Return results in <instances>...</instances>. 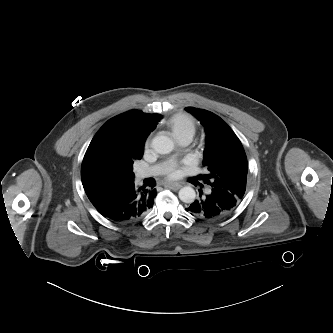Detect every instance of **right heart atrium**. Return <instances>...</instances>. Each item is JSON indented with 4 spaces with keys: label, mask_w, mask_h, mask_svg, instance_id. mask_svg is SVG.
I'll return each mask as SVG.
<instances>
[{
    "label": "right heart atrium",
    "mask_w": 333,
    "mask_h": 333,
    "mask_svg": "<svg viewBox=\"0 0 333 333\" xmlns=\"http://www.w3.org/2000/svg\"><path fill=\"white\" fill-rule=\"evenodd\" d=\"M150 145V140H147L145 146L148 147Z\"/></svg>",
    "instance_id": "d8ad5b80"
}]
</instances>
